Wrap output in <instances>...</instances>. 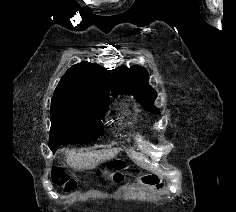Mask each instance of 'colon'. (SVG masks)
Instances as JSON below:
<instances>
[{
  "label": "colon",
  "mask_w": 236,
  "mask_h": 212,
  "mask_svg": "<svg viewBox=\"0 0 236 212\" xmlns=\"http://www.w3.org/2000/svg\"><path fill=\"white\" fill-rule=\"evenodd\" d=\"M124 167V163L119 161L115 163L114 169L115 170H120ZM119 175L120 173H114L113 178L115 181H120L119 180ZM52 179L53 182L60 188H63L66 191H70L74 188L75 182L70 179L67 175L64 174V172L60 168H54L52 170Z\"/></svg>",
  "instance_id": "obj_1"
}]
</instances>
